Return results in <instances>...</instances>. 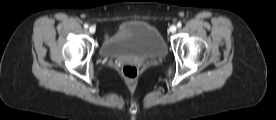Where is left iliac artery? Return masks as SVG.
Returning a JSON list of instances; mask_svg holds the SVG:
<instances>
[{
	"mask_svg": "<svg viewBox=\"0 0 276 120\" xmlns=\"http://www.w3.org/2000/svg\"><path fill=\"white\" fill-rule=\"evenodd\" d=\"M181 26H182L181 22H178V23H177V27L180 28Z\"/></svg>",
	"mask_w": 276,
	"mask_h": 120,
	"instance_id": "left-iliac-artery-1",
	"label": "left iliac artery"
}]
</instances>
